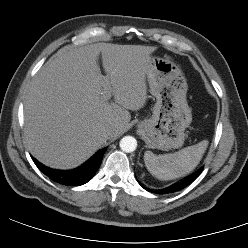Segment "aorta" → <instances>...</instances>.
I'll list each match as a JSON object with an SVG mask.
<instances>
[{
    "label": "aorta",
    "mask_w": 248,
    "mask_h": 248,
    "mask_svg": "<svg viewBox=\"0 0 248 248\" xmlns=\"http://www.w3.org/2000/svg\"><path fill=\"white\" fill-rule=\"evenodd\" d=\"M137 141L132 136H125L120 141V148L126 153H131L136 150Z\"/></svg>",
    "instance_id": "aorta-1"
}]
</instances>
